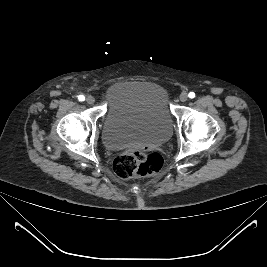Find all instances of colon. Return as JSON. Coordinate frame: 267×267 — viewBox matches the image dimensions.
I'll return each mask as SVG.
<instances>
[{
	"instance_id": "obj_1",
	"label": "colon",
	"mask_w": 267,
	"mask_h": 267,
	"mask_svg": "<svg viewBox=\"0 0 267 267\" xmlns=\"http://www.w3.org/2000/svg\"><path fill=\"white\" fill-rule=\"evenodd\" d=\"M163 167L159 153L135 150L118 156L113 162L114 173L122 179L158 174Z\"/></svg>"
}]
</instances>
